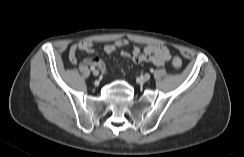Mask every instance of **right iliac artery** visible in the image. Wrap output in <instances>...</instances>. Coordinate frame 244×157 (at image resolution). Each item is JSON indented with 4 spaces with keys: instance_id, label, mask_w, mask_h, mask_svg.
<instances>
[{
    "instance_id": "1",
    "label": "right iliac artery",
    "mask_w": 244,
    "mask_h": 157,
    "mask_svg": "<svg viewBox=\"0 0 244 157\" xmlns=\"http://www.w3.org/2000/svg\"><path fill=\"white\" fill-rule=\"evenodd\" d=\"M90 69H91L92 71H95V67H91Z\"/></svg>"
}]
</instances>
